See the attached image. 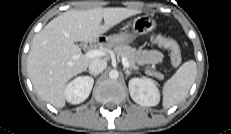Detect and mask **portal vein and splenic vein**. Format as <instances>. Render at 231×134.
I'll return each instance as SVG.
<instances>
[{"instance_id": "portal-vein-and-splenic-vein-1", "label": "portal vein and splenic vein", "mask_w": 231, "mask_h": 134, "mask_svg": "<svg viewBox=\"0 0 231 134\" xmlns=\"http://www.w3.org/2000/svg\"><path fill=\"white\" fill-rule=\"evenodd\" d=\"M105 55H106V51L102 49H93L85 54V56L89 58L103 57ZM122 64L125 68L129 67V62L126 57H122Z\"/></svg>"}]
</instances>
